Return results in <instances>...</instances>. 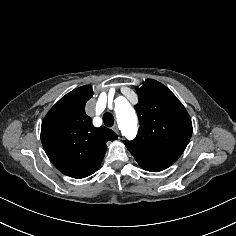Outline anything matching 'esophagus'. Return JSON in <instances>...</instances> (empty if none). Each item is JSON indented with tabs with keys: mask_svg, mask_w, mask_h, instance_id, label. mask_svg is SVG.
I'll return each mask as SVG.
<instances>
[{
	"mask_svg": "<svg viewBox=\"0 0 236 236\" xmlns=\"http://www.w3.org/2000/svg\"><path fill=\"white\" fill-rule=\"evenodd\" d=\"M112 129H113L117 134H119V127H118L117 124H114L113 127H112Z\"/></svg>",
	"mask_w": 236,
	"mask_h": 236,
	"instance_id": "1",
	"label": "esophagus"
}]
</instances>
